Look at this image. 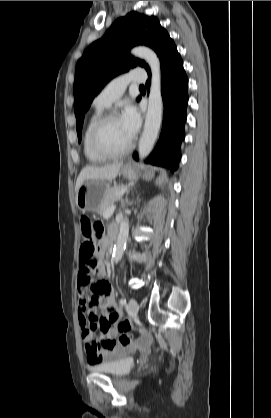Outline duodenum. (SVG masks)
Wrapping results in <instances>:
<instances>
[{
  "label": "duodenum",
  "instance_id": "obj_1",
  "mask_svg": "<svg viewBox=\"0 0 271 418\" xmlns=\"http://www.w3.org/2000/svg\"><path fill=\"white\" fill-rule=\"evenodd\" d=\"M117 240V230L113 229L110 234V248H112Z\"/></svg>",
  "mask_w": 271,
  "mask_h": 418
}]
</instances>
